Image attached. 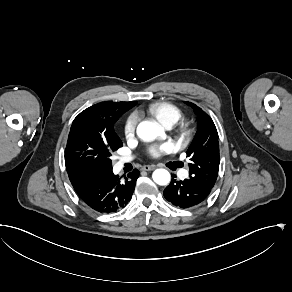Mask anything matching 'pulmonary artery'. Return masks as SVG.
Here are the masks:
<instances>
[{
	"mask_svg": "<svg viewBox=\"0 0 292 292\" xmlns=\"http://www.w3.org/2000/svg\"><path fill=\"white\" fill-rule=\"evenodd\" d=\"M173 123H171V122H169V123H166L165 125H164V128L166 129V130H170V129H172L173 128ZM128 161H130V158L129 157H121L120 158V160H119V164L120 165H122L123 163H126V162H128ZM188 176V171H185L184 173H183V177H187Z\"/></svg>",
	"mask_w": 292,
	"mask_h": 292,
	"instance_id": "pulmonary-artery-1",
	"label": "pulmonary artery"
}]
</instances>
